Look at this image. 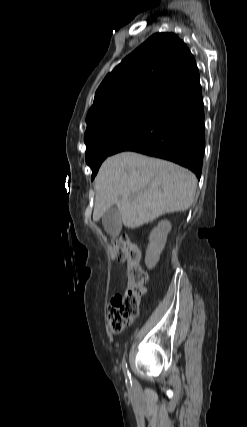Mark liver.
<instances>
[{
    "instance_id": "obj_1",
    "label": "liver",
    "mask_w": 247,
    "mask_h": 427,
    "mask_svg": "<svg viewBox=\"0 0 247 427\" xmlns=\"http://www.w3.org/2000/svg\"><path fill=\"white\" fill-rule=\"evenodd\" d=\"M93 220L117 205L125 227L137 228L159 216L186 211L193 203L197 179L186 168L135 152L107 158L94 181Z\"/></svg>"
}]
</instances>
